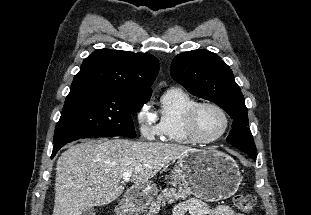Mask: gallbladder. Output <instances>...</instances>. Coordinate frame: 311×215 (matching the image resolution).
Returning <instances> with one entry per match:
<instances>
[{"label":"gallbladder","mask_w":311,"mask_h":215,"mask_svg":"<svg viewBox=\"0 0 311 215\" xmlns=\"http://www.w3.org/2000/svg\"><path fill=\"white\" fill-rule=\"evenodd\" d=\"M81 215H96V211L93 208L85 210Z\"/></svg>","instance_id":"obj_1"}]
</instances>
